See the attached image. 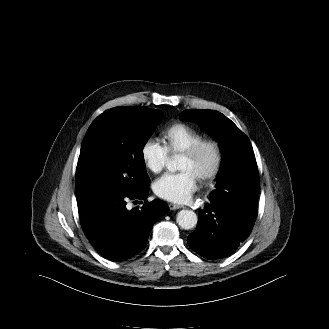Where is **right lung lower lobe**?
<instances>
[{
	"instance_id": "98d812e1",
	"label": "right lung lower lobe",
	"mask_w": 329,
	"mask_h": 329,
	"mask_svg": "<svg viewBox=\"0 0 329 329\" xmlns=\"http://www.w3.org/2000/svg\"><path fill=\"white\" fill-rule=\"evenodd\" d=\"M149 187L128 193L110 187H96L77 198L83 231L92 245L107 259L123 261L139 253L146 245L154 223L168 213L161 200L144 202L127 210L128 199L144 200Z\"/></svg>"
}]
</instances>
